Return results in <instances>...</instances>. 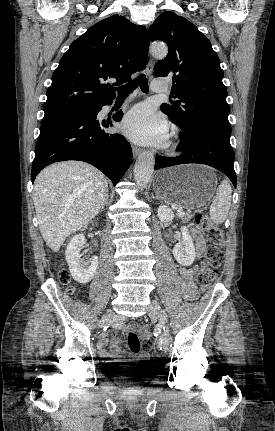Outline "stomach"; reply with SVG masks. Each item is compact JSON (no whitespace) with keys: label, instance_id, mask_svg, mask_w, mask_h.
<instances>
[{"label":"stomach","instance_id":"1","mask_svg":"<svg viewBox=\"0 0 275 431\" xmlns=\"http://www.w3.org/2000/svg\"><path fill=\"white\" fill-rule=\"evenodd\" d=\"M153 186L157 195L168 204L199 209L212 198L217 178L207 166L181 165L158 171Z\"/></svg>","mask_w":275,"mask_h":431}]
</instances>
